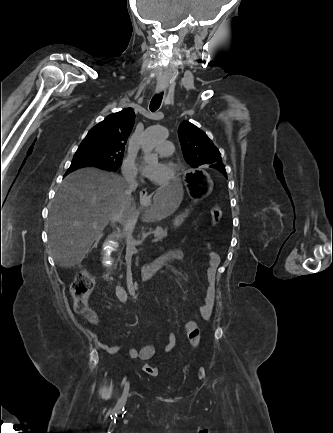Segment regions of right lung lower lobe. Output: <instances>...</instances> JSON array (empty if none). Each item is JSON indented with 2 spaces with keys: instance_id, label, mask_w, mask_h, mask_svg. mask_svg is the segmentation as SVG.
Masks as SVG:
<instances>
[{
  "instance_id": "1",
  "label": "right lung lower lobe",
  "mask_w": 333,
  "mask_h": 433,
  "mask_svg": "<svg viewBox=\"0 0 333 433\" xmlns=\"http://www.w3.org/2000/svg\"><path fill=\"white\" fill-rule=\"evenodd\" d=\"M85 166H97V167H100V168H103V169H107V170H113V169H110V168H108V167H106V166H103V165H99V164H93V163H74V162H72L71 163V166L69 167V169H68V171L66 172V174H65V176L68 174V173H70L71 171H73V170H75V169H78V168H81V167H85Z\"/></svg>"
}]
</instances>
